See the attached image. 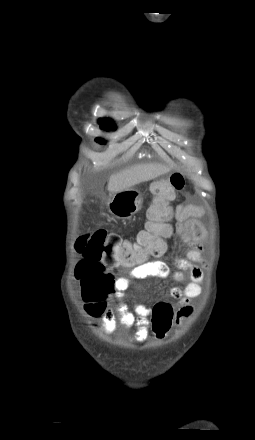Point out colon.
Wrapping results in <instances>:
<instances>
[{"instance_id":"colon-1","label":"colon","mask_w":255,"mask_h":440,"mask_svg":"<svg viewBox=\"0 0 255 440\" xmlns=\"http://www.w3.org/2000/svg\"><path fill=\"white\" fill-rule=\"evenodd\" d=\"M185 185L184 177L175 173L152 186L153 202L147 212L145 229L132 242L106 230H93L81 235L76 250L83 259L79 261L76 275L83 271L80 285L86 308L91 315L104 313L113 291L111 269L136 267L147 262L149 255L159 256L165 251L162 238L170 232L169 203L175 192ZM174 318L171 304L161 302L152 312V331L157 342H164Z\"/></svg>"}]
</instances>
